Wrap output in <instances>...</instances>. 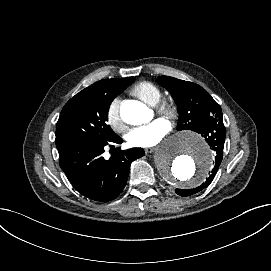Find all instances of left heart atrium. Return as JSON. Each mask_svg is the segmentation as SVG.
I'll return each instance as SVG.
<instances>
[{
    "mask_svg": "<svg viewBox=\"0 0 271 271\" xmlns=\"http://www.w3.org/2000/svg\"><path fill=\"white\" fill-rule=\"evenodd\" d=\"M170 124L158 118L149 124L133 128L127 135V140L132 146L152 147L160 143L170 132Z\"/></svg>",
    "mask_w": 271,
    "mask_h": 271,
    "instance_id": "1",
    "label": "left heart atrium"
}]
</instances>
